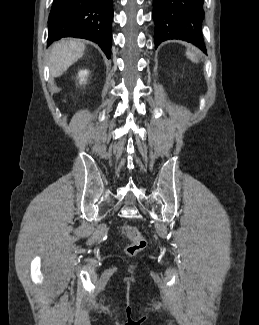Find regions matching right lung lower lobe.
Instances as JSON below:
<instances>
[{"instance_id": "right-lung-lower-lobe-1", "label": "right lung lower lobe", "mask_w": 259, "mask_h": 325, "mask_svg": "<svg viewBox=\"0 0 259 325\" xmlns=\"http://www.w3.org/2000/svg\"><path fill=\"white\" fill-rule=\"evenodd\" d=\"M113 0H54L48 20V45L62 37L97 43L111 57Z\"/></svg>"}]
</instances>
